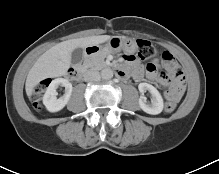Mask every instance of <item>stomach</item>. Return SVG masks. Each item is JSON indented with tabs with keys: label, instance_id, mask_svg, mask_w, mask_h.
<instances>
[{
	"label": "stomach",
	"instance_id": "1",
	"mask_svg": "<svg viewBox=\"0 0 219 174\" xmlns=\"http://www.w3.org/2000/svg\"><path fill=\"white\" fill-rule=\"evenodd\" d=\"M91 47H97L99 52L108 51L114 53L120 51L134 53L138 49L137 43L134 40L118 36L112 37L104 45H94Z\"/></svg>",
	"mask_w": 219,
	"mask_h": 174
}]
</instances>
